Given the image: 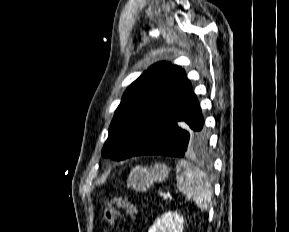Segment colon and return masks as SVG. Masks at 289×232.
<instances>
[{
	"label": "colon",
	"mask_w": 289,
	"mask_h": 232,
	"mask_svg": "<svg viewBox=\"0 0 289 232\" xmlns=\"http://www.w3.org/2000/svg\"><path fill=\"white\" fill-rule=\"evenodd\" d=\"M119 209H124L131 218L135 217V207L128 199L122 197L105 198L104 218L110 224L112 229L116 227Z\"/></svg>",
	"instance_id": "5ec220e1"
}]
</instances>
